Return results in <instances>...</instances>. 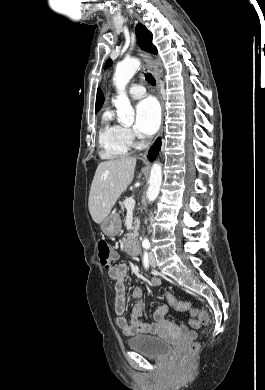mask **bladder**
Wrapping results in <instances>:
<instances>
[{"label": "bladder", "instance_id": "31cf9c89", "mask_svg": "<svg viewBox=\"0 0 265 390\" xmlns=\"http://www.w3.org/2000/svg\"><path fill=\"white\" fill-rule=\"evenodd\" d=\"M127 345L148 358L161 359L172 349L169 342L153 335H137L127 340Z\"/></svg>", "mask_w": 265, "mask_h": 390}]
</instances>
